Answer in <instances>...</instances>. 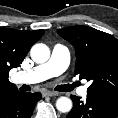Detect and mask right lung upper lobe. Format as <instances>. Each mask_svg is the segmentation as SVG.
<instances>
[{
  "label": "right lung upper lobe",
  "instance_id": "cb5924a9",
  "mask_svg": "<svg viewBox=\"0 0 118 118\" xmlns=\"http://www.w3.org/2000/svg\"><path fill=\"white\" fill-rule=\"evenodd\" d=\"M44 30L21 31L0 28V97L17 92L8 80L9 71L18 67L31 46L44 34Z\"/></svg>",
  "mask_w": 118,
  "mask_h": 118
}]
</instances>
